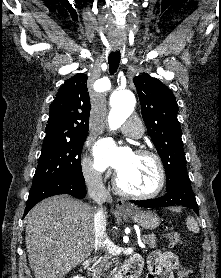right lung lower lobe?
Masks as SVG:
<instances>
[{"instance_id": "1", "label": "right lung lower lobe", "mask_w": 221, "mask_h": 278, "mask_svg": "<svg viewBox=\"0 0 221 278\" xmlns=\"http://www.w3.org/2000/svg\"><path fill=\"white\" fill-rule=\"evenodd\" d=\"M58 194H69L78 199L86 196L85 180H78L70 177H61L50 180L29 192L24 216L39 201Z\"/></svg>"}]
</instances>
